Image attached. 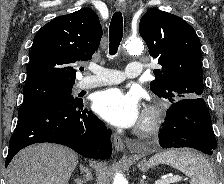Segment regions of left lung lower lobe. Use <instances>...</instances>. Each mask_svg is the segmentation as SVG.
<instances>
[{"instance_id":"obj_1","label":"left lung lower lobe","mask_w":224,"mask_h":184,"mask_svg":"<svg viewBox=\"0 0 224 184\" xmlns=\"http://www.w3.org/2000/svg\"><path fill=\"white\" fill-rule=\"evenodd\" d=\"M159 144L162 148L191 147L212 155L217 143L211 117L202 97L172 103L163 123Z\"/></svg>"}]
</instances>
